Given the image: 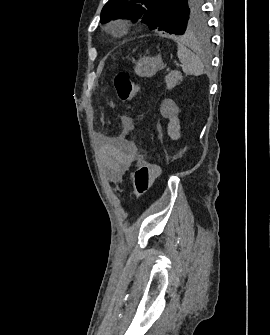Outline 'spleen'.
Instances as JSON below:
<instances>
[{
	"label": "spleen",
	"instance_id": "3e777b00",
	"mask_svg": "<svg viewBox=\"0 0 270 335\" xmlns=\"http://www.w3.org/2000/svg\"><path fill=\"white\" fill-rule=\"evenodd\" d=\"M177 56L180 62L183 64L182 70L186 76H201L204 70V64L200 58L193 54L191 50H188L185 46L184 38H178L177 40Z\"/></svg>",
	"mask_w": 270,
	"mask_h": 335
}]
</instances>
